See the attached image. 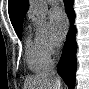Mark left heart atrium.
I'll list each match as a JSON object with an SVG mask.
<instances>
[{"instance_id": "1", "label": "left heart atrium", "mask_w": 89, "mask_h": 89, "mask_svg": "<svg viewBox=\"0 0 89 89\" xmlns=\"http://www.w3.org/2000/svg\"><path fill=\"white\" fill-rule=\"evenodd\" d=\"M52 28L57 39H62L68 27V21L64 11L55 7L50 13Z\"/></svg>"}]
</instances>
